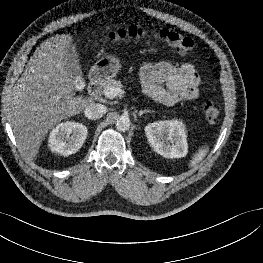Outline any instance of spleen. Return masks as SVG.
Segmentation results:
<instances>
[{"instance_id":"1","label":"spleen","mask_w":263,"mask_h":263,"mask_svg":"<svg viewBox=\"0 0 263 263\" xmlns=\"http://www.w3.org/2000/svg\"><path fill=\"white\" fill-rule=\"evenodd\" d=\"M208 153V148L207 147H201L198 152L192 157V160L189 164L190 167L196 166L198 163H200L204 157Z\"/></svg>"}]
</instances>
